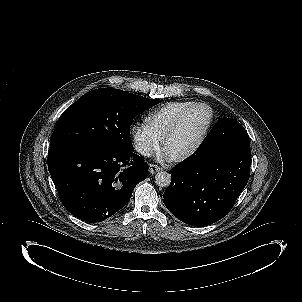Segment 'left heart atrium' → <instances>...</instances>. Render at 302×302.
Returning <instances> with one entry per match:
<instances>
[{
  "mask_svg": "<svg viewBox=\"0 0 302 302\" xmlns=\"http://www.w3.org/2000/svg\"><path fill=\"white\" fill-rule=\"evenodd\" d=\"M158 154L163 156L169 162H175L176 163V162L180 161L179 153L170 146L162 149L161 151L158 152Z\"/></svg>",
  "mask_w": 302,
  "mask_h": 302,
  "instance_id": "39dd6f15",
  "label": "left heart atrium"
}]
</instances>
